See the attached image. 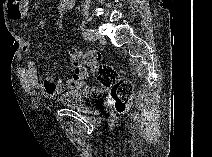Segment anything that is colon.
I'll return each mask as SVG.
<instances>
[{
	"label": "colon",
	"mask_w": 212,
	"mask_h": 157,
	"mask_svg": "<svg viewBox=\"0 0 212 157\" xmlns=\"http://www.w3.org/2000/svg\"><path fill=\"white\" fill-rule=\"evenodd\" d=\"M68 55L75 67L73 76L75 81L84 83L87 77V68H91L98 82L110 89L115 110L119 114L125 113L133 94V84L130 81L120 79L119 73L114 67L102 63L99 51L81 52L75 48H70Z\"/></svg>",
	"instance_id": "5ec220e1"
}]
</instances>
